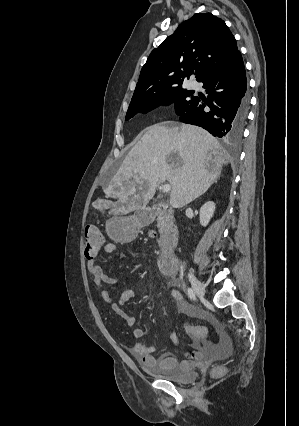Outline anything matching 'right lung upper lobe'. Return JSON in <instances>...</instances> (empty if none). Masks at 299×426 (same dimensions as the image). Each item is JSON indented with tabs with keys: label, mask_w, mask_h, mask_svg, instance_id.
<instances>
[{
	"label": "right lung upper lobe",
	"mask_w": 299,
	"mask_h": 426,
	"mask_svg": "<svg viewBox=\"0 0 299 426\" xmlns=\"http://www.w3.org/2000/svg\"><path fill=\"white\" fill-rule=\"evenodd\" d=\"M239 53L225 22L211 13L195 14L149 55L131 101L182 85L196 71L201 81Z\"/></svg>",
	"instance_id": "1"
}]
</instances>
